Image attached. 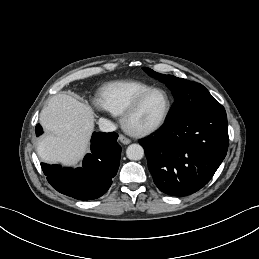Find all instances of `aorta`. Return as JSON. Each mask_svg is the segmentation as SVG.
<instances>
[{
    "mask_svg": "<svg viewBox=\"0 0 259 259\" xmlns=\"http://www.w3.org/2000/svg\"><path fill=\"white\" fill-rule=\"evenodd\" d=\"M126 156L130 160H140L144 156V149L139 144H131L126 149Z\"/></svg>",
    "mask_w": 259,
    "mask_h": 259,
    "instance_id": "obj_1",
    "label": "aorta"
}]
</instances>
